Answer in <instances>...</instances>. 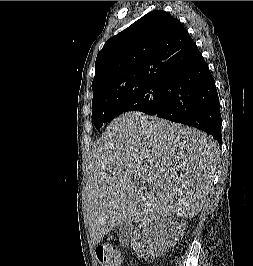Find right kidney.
<instances>
[{
    "label": "right kidney",
    "instance_id": "right-kidney-1",
    "mask_svg": "<svg viewBox=\"0 0 253 266\" xmlns=\"http://www.w3.org/2000/svg\"><path fill=\"white\" fill-rule=\"evenodd\" d=\"M186 222L175 218L142 221L131 233L130 244L138 257L157 258L183 236Z\"/></svg>",
    "mask_w": 253,
    "mask_h": 266
}]
</instances>
